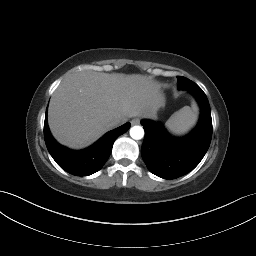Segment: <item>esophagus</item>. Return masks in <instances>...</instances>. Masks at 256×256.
Segmentation results:
<instances>
[{
  "label": "esophagus",
  "instance_id": "esophagus-1",
  "mask_svg": "<svg viewBox=\"0 0 256 256\" xmlns=\"http://www.w3.org/2000/svg\"><path fill=\"white\" fill-rule=\"evenodd\" d=\"M139 123H140V119L139 118H134V119L131 120V124L132 125H137Z\"/></svg>",
  "mask_w": 256,
  "mask_h": 256
}]
</instances>
